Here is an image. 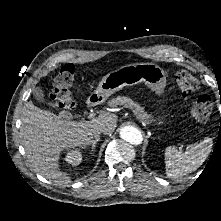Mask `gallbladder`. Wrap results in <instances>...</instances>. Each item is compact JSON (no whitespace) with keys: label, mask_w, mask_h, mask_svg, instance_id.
Instances as JSON below:
<instances>
[{"label":"gallbladder","mask_w":221,"mask_h":221,"mask_svg":"<svg viewBox=\"0 0 221 221\" xmlns=\"http://www.w3.org/2000/svg\"><path fill=\"white\" fill-rule=\"evenodd\" d=\"M33 95L34 97L38 100V101H43L44 100V92L41 88H35L34 91H33ZM60 116L63 118V119H68L70 118V113L69 112H66V111H62L60 113Z\"/></svg>","instance_id":"gallbladder-1"}]
</instances>
